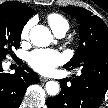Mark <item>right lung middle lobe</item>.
<instances>
[{"instance_id":"1","label":"right lung middle lobe","mask_w":108,"mask_h":108,"mask_svg":"<svg viewBox=\"0 0 108 108\" xmlns=\"http://www.w3.org/2000/svg\"><path fill=\"white\" fill-rule=\"evenodd\" d=\"M27 21L16 4L0 6V60L20 46L21 32Z\"/></svg>"}]
</instances>
